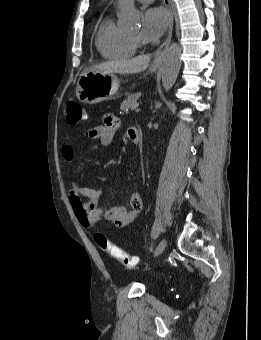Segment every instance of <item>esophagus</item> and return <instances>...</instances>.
I'll return each instance as SVG.
<instances>
[{
    "instance_id": "obj_1",
    "label": "esophagus",
    "mask_w": 261,
    "mask_h": 340,
    "mask_svg": "<svg viewBox=\"0 0 261 340\" xmlns=\"http://www.w3.org/2000/svg\"><path fill=\"white\" fill-rule=\"evenodd\" d=\"M164 4H165V6L168 9V12L170 14L169 30H168L166 40L160 45V47L154 53V62H161L164 59V56L166 54V51L168 49V46H169V44L171 42V38H172L173 11H172V8H171V2H170V0H164Z\"/></svg>"
}]
</instances>
